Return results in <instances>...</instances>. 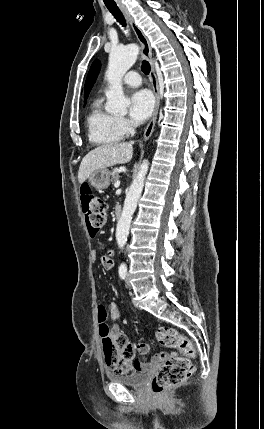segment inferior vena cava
Instances as JSON below:
<instances>
[{"label": "inferior vena cava", "mask_w": 264, "mask_h": 429, "mask_svg": "<svg viewBox=\"0 0 264 429\" xmlns=\"http://www.w3.org/2000/svg\"><path fill=\"white\" fill-rule=\"evenodd\" d=\"M123 249L125 250V251H124V254H125V255H128V254H129V251L127 250L128 248L125 246Z\"/></svg>", "instance_id": "1"}]
</instances>
